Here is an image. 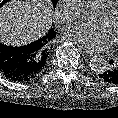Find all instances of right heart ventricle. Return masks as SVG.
I'll list each match as a JSON object with an SVG mask.
<instances>
[{
    "mask_svg": "<svg viewBox=\"0 0 118 118\" xmlns=\"http://www.w3.org/2000/svg\"><path fill=\"white\" fill-rule=\"evenodd\" d=\"M118 0H93L95 5L100 9H105L108 6L112 5L113 3H116Z\"/></svg>",
    "mask_w": 118,
    "mask_h": 118,
    "instance_id": "right-heart-ventricle-1",
    "label": "right heart ventricle"
}]
</instances>
